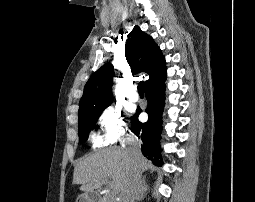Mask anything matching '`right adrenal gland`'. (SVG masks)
Wrapping results in <instances>:
<instances>
[{
	"mask_svg": "<svg viewBox=\"0 0 255 202\" xmlns=\"http://www.w3.org/2000/svg\"><path fill=\"white\" fill-rule=\"evenodd\" d=\"M147 190H149V187L146 184L145 180L143 179V191L146 192Z\"/></svg>",
	"mask_w": 255,
	"mask_h": 202,
	"instance_id": "1",
	"label": "right adrenal gland"
}]
</instances>
